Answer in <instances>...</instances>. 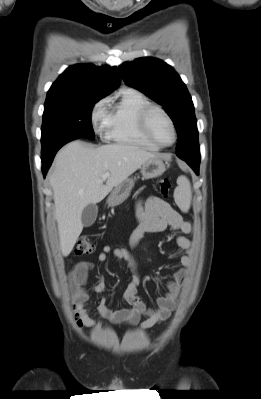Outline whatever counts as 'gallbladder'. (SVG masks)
Instances as JSON below:
<instances>
[{"label": "gallbladder", "instance_id": "obj_1", "mask_svg": "<svg viewBox=\"0 0 261 399\" xmlns=\"http://www.w3.org/2000/svg\"><path fill=\"white\" fill-rule=\"evenodd\" d=\"M98 207L96 204L87 205L81 215V221L84 227H90L93 225L97 218Z\"/></svg>", "mask_w": 261, "mask_h": 399}]
</instances>
